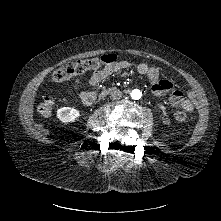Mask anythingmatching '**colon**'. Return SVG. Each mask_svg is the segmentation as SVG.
Returning <instances> with one entry per match:
<instances>
[{
  "instance_id": "colon-1",
  "label": "colon",
  "mask_w": 221,
  "mask_h": 221,
  "mask_svg": "<svg viewBox=\"0 0 221 221\" xmlns=\"http://www.w3.org/2000/svg\"><path fill=\"white\" fill-rule=\"evenodd\" d=\"M116 60L117 56L114 54H110L103 56L98 60L79 62L72 66H62L54 73V78L56 80L72 78L79 73L89 72L100 67H106L116 62ZM62 101V94L51 96L45 101V103L42 106H40L39 112L45 116H56ZM167 116L170 119L177 118L178 120H184L187 117V112L185 109L179 108L176 109L175 114L168 112Z\"/></svg>"
}]
</instances>
